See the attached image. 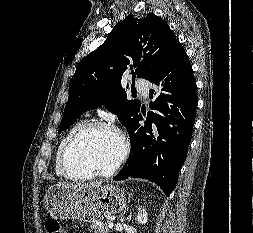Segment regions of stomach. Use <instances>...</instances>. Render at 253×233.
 Instances as JSON below:
<instances>
[{
    "label": "stomach",
    "mask_w": 253,
    "mask_h": 233,
    "mask_svg": "<svg viewBox=\"0 0 253 233\" xmlns=\"http://www.w3.org/2000/svg\"><path fill=\"white\" fill-rule=\"evenodd\" d=\"M43 205L54 219L100 222L126 209L125 192L113 185L73 187L56 184L48 188Z\"/></svg>",
    "instance_id": "0dacf381"
}]
</instances>
